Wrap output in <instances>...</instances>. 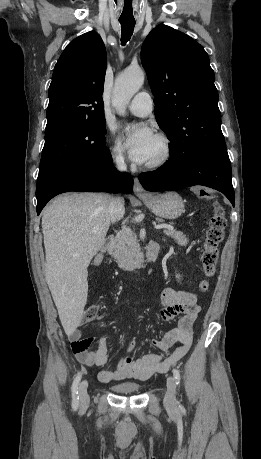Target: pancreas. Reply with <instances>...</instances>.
Returning <instances> with one entry per match:
<instances>
[{"label":"pancreas","mask_w":261,"mask_h":459,"mask_svg":"<svg viewBox=\"0 0 261 459\" xmlns=\"http://www.w3.org/2000/svg\"><path fill=\"white\" fill-rule=\"evenodd\" d=\"M157 221L163 222V220L159 218ZM164 233L173 238L175 242L181 246H186L189 242L185 234L175 229H165ZM110 254L117 260L120 268L128 269L134 266L141 255L136 236L131 232H119L110 249Z\"/></svg>","instance_id":"1"}]
</instances>
